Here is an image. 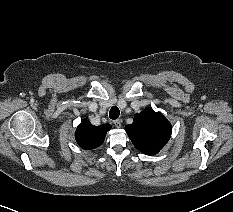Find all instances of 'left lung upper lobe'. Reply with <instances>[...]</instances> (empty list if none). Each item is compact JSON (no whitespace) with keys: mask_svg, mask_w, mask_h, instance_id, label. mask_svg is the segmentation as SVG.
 I'll list each match as a JSON object with an SVG mask.
<instances>
[{"mask_svg":"<svg viewBox=\"0 0 233 212\" xmlns=\"http://www.w3.org/2000/svg\"><path fill=\"white\" fill-rule=\"evenodd\" d=\"M125 130L134 146L147 155L158 153L171 136L169 121L152 108L136 114L133 123L125 126Z\"/></svg>","mask_w":233,"mask_h":212,"instance_id":"obj_1","label":"left lung upper lobe"}]
</instances>
